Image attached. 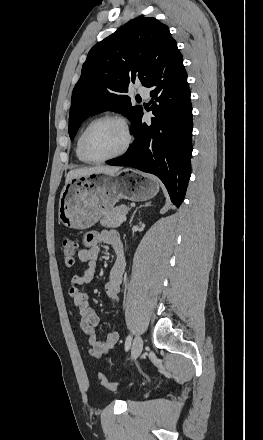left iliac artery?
Returning <instances> with one entry per match:
<instances>
[{
	"instance_id": "obj_1",
	"label": "left iliac artery",
	"mask_w": 263,
	"mask_h": 440,
	"mask_svg": "<svg viewBox=\"0 0 263 440\" xmlns=\"http://www.w3.org/2000/svg\"><path fill=\"white\" fill-rule=\"evenodd\" d=\"M131 340H132L131 336L128 335L127 338H126V340H125V350H126V351H128L129 348H130V346H131Z\"/></svg>"
}]
</instances>
